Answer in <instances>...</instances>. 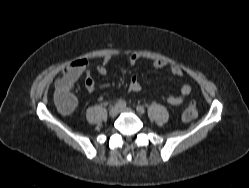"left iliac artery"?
<instances>
[{"label":"left iliac artery","mask_w":249,"mask_h":188,"mask_svg":"<svg viewBox=\"0 0 249 188\" xmlns=\"http://www.w3.org/2000/svg\"><path fill=\"white\" fill-rule=\"evenodd\" d=\"M136 110L139 112V113H141V114H144L145 113V109H144V107L143 106H137L136 107Z\"/></svg>","instance_id":"left-iliac-artery-1"}]
</instances>
